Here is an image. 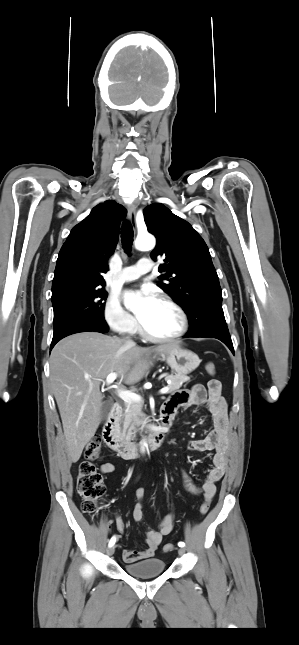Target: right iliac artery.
<instances>
[{"label":"right iliac artery","mask_w":299,"mask_h":645,"mask_svg":"<svg viewBox=\"0 0 299 645\" xmlns=\"http://www.w3.org/2000/svg\"><path fill=\"white\" fill-rule=\"evenodd\" d=\"M115 541H116V538H115V537H112V538L110 539V541H109V547H110V546H113V545L115 544Z\"/></svg>","instance_id":"right-iliac-artery-1"}]
</instances>
